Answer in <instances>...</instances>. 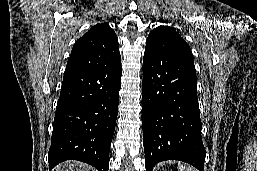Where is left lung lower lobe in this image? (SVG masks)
Returning <instances> with one entry per match:
<instances>
[{"instance_id": "left-lung-lower-lobe-1", "label": "left lung lower lobe", "mask_w": 257, "mask_h": 171, "mask_svg": "<svg viewBox=\"0 0 257 171\" xmlns=\"http://www.w3.org/2000/svg\"><path fill=\"white\" fill-rule=\"evenodd\" d=\"M142 124L146 171L164 160L187 162L203 171L194 62L167 51L144 53Z\"/></svg>"}]
</instances>
